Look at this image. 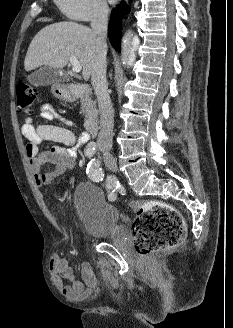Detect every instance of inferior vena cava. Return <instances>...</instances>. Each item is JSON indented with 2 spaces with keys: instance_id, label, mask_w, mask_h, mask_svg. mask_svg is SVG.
<instances>
[{
  "instance_id": "1",
  "label": "inferior vena cava",
  "mask_w": 233,
  "mask_h": 328,
  "mask_svg": "<svg viewBox=\"0 0 233 328\" xmlns=\"http://www.w3.org/2000/svg\"><path fill=\"white\" fill-rule=\"evenodd\" d=\"M109 8L104 0L95 3L91 18V27L97 35V43L100 47L91 71V83L94 88L99 113H100V132L97 139V146L101 152L108 154L113 143V109L108 93V83L106 79V37L108 26Z\"/></svg>"
}]
</instances>
